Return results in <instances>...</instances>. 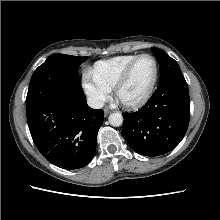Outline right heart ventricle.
I'll return each instance as SVG.
<instances>
[{
    "label": "right heart ventricle",
    "instance_id": "e07e8e85",
    "mask_svg": "<svg viewBox=\"0 0 220 220\" xmlns=\"http://www.w3.org/2000/svg\"><path fill=\"white\" fill-rule=\"evenodd\" d=\"M137 56L139 55H122L98 61L94 65L93 74L99 82L112 89Z\"/></svg>",
    "mask_w": 220,
    "mask_h": 220
}]
</instances>
